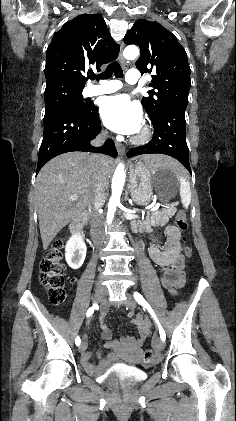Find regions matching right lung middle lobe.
<instances>
[{
    "instance_id": "1",
    "label": "right lung middle lobe",
    "mask_w": 236,
    "mask_h": 421,
    "mask_svg": "<svg viewBox=\"0 0 236 421\" xmlns=\"http://www.w3.org/2000/svg\"><path fill=\"white\" fill-rule=\"evenodd\" d=\"M83 88L46 86L45 115L57 110H69L72 112H83L89 107V103L81 96Z\"/></svg>"
}]
</instances>
